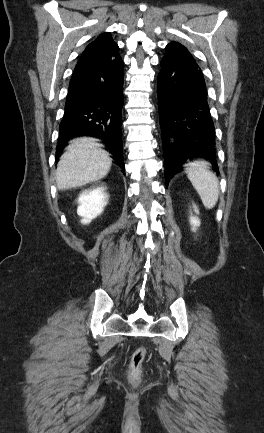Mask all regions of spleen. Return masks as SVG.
<instances>
[{"label": "spleen", "instance_id": "obj_1", "mask_svg": "<svg viewBox=\"0 0 264 433\" xmlns=\"http://www.w3.org/2000/svg\"><path fill=\"white\" fill-rule=\"evenodd\" d=\"M187 166L188 179L199 194L204 206L207 209H212L219 197L217 177L209 170V164L205 161H196Z\"/></svg>", "mask_w": 264, "mask_h": 433}]
</instances>
